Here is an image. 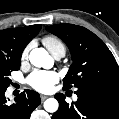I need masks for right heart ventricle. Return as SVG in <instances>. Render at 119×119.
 Segmentation results:
<instances>
[{
  "mask_svg": "<svg viewBox=\"0 0 119 119\" xmlns=\"http://www.w3.org/2000/svg\"><path fill=\"white\" fill-rule=\"evenodd\" d=\"M43 44L53 55L55 52L62 50L65 52V46L57 37L48 35L42 39Z\"/></svg>",
  "mask_w": 119,
  "mask_h": 119,
  "instance_id": "obj_1",
  "label": "right heart ventricle"
}]
</instances>
